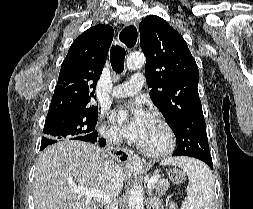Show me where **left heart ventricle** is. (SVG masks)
Returning a JSON list of instances; mask_svg holds the SVG:
<instances>
[{
  "instance_id": "obj_1",
  "label": "left heart ventricle",
  "mask_w": 253,
  "mask_h": 209,
  "mask_svg": "<svg viewBox=\"0 0 253 209\" xmlns=\"http://www.w3.org/2000/svg\"><path fill=\"white\" fill-rule=\"evenodd\" d=\"M166 143L165 130L158 122L152 119L139 144L149 150H159L165 147Z\"/></svg>"
}]
</instances>
